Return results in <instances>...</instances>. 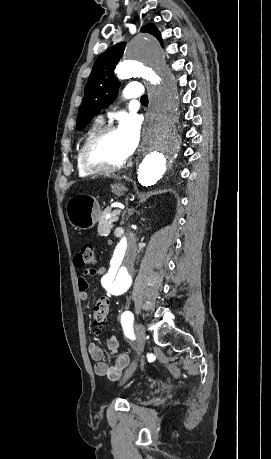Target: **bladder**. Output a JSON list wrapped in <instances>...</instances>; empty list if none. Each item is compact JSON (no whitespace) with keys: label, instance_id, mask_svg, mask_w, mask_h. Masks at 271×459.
<instances>
[{"label":"bladder","instance_id":"bladder-1","mask_svg":"<svg viewBox=\"0 0 271 459\" xmlns=\"http://www.w3.org/2000/svg\"><path fill=\"white\" fill-rule=\"evenodd\" d=\"M135 393L136 394H141V393H143V390L142 389H138V390L135 391Z\"/></svg>","mask_w":271,"mask_h":459}]
</instances>
